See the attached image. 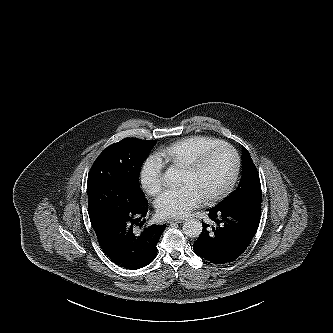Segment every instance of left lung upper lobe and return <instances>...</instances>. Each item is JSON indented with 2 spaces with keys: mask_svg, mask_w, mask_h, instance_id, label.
Wrapping results in <instances>:
<instances>
[{
  "mask_svg": "<svg viewBox=\"0 0 333 333\" xmlns=\"http://www.w3.org/2000/svg\"><path fill=\"white\" fill-rule=\"evenodd\" d=\"M242 162V176L237 189L217 206H233L254 198H262L259 174L249 152L245 148L242 151Z\"/></svg>",
  "mask_w": 333,
  "mask_h": 333,
  "instance_id": "left-lung-upper-lobe-1",
  "label": "left lung upper lobe"
}]
</instances>
